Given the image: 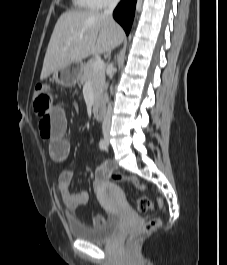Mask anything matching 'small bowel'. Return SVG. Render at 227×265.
Masks as SVG:
<instances>
[{"mask_svg": "<svg viewBox=\"0 0 227 265\" xmlns=\"http://www.w3.org/2000/svg\"><path fill=\"white\" fill-rule=\"evenodd\" d=\"M41 137L48 142V152L50 157L59 163L67 161L70 155V143L66 138L67 118L64 110L59 106H54L50 112H45L39 122ZM112 172L110 164L98 166L93 171V188L99 190L104 183L107 173ZM73 171L63 169L58 176V190L62 203L68 209H74L87 203L88 193L86 191L73 192L70 184L73 179ZM67 218L70 222L77 223L76 218L68 213ZM104 218L100 215L93 217L94 226L100 225Z\"/></svg>", "mask_w": 227, "mask_h": 265, "instance_id": "1", "label": "small bowel"}]
</instances>
